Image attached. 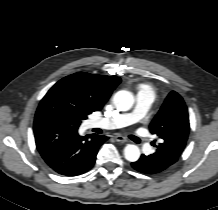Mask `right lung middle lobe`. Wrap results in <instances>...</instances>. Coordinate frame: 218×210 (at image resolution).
<instances>
[{
	"label": "right lung middle lobe",
	"instance_id": "dd1d6c3e",
	"mask_svg": "<svg viewBox=\"0 0 218 210\" xmlns=\"http://www.w3.org/2000/svg\"><path fill=\"white\" fill-rule=\"evenodd\" d=\"M90 114L81 104L63 91L52 87L41 100L35 122L57 121L77 130L82 120Z\"/></svg>",
	"mask_w": 218,
	"mask_h": 210
}]
</instances>
